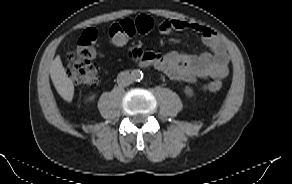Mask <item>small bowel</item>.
Masks as SVG:
<instances>
[{
  "label": "small bowel",
  "instance_id": "1",
  "mask_svg": "<svg viewBox=\"0 0 292 184\" xmlns=\"http://www.w3.org/2000/svg\"><path fill=\"white\" fill-rule=\"evenodd\" d=\"M162 34L173 31L191 30L199 34L209 49L199 54L168 52L163 55L146 53L156 68L169 78L178 81L195 82L199 79H222L228 73L229 55L227 50L211 28L180 19H165L155 23Z\"/></svg>",
  "mask_w": 292,
  "mask_h": 184
}]
</instances>
